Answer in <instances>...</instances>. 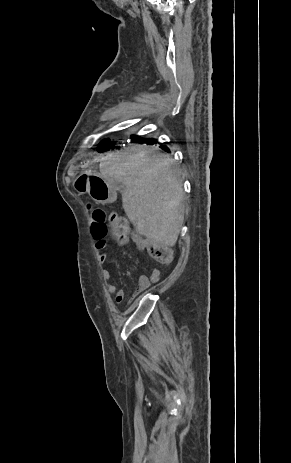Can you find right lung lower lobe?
<instances>
[{"instance_id":"obj_1","label":"right lung lower lobe","mask_w":291,"mask_h":463,"mask_svg":"<svg viewBox=\"0 0 291 463\" xmlns=\"http://www.w3.org/2000/svg\"><path fill=\"white\" fill-rule=\"evenodd\" d=\"M142 143L155 144V143H157V141H156V140H151V139H149V140H145V141L142 142ZM161 147H162L164 150L168 151V148H167L166 146H161Z\"/></svg>"}]
</instances>
